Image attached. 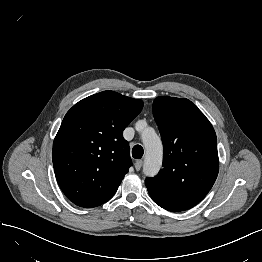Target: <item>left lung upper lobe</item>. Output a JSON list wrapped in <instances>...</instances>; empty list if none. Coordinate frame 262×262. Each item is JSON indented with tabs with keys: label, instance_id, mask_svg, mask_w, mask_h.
<instances>
[{
	"label": "left lung upper lobe",
	"instance_id": "1",
	"mask_svg": "<svg viewBox=\"0 0 262 262\" xmlns=\"http://www.w3.org/2000/svg\"><path fill=\"white\" fill-rule=\"evenodd\" d=\"M153 115L164 146L163 169L145 180L146 187L160 207L190 209L207 195L218 175L214 128L186 98L157 97Z\"/></svg>",
	"mask_w": 262,
	"mask_h": 262
}]
</instances>
